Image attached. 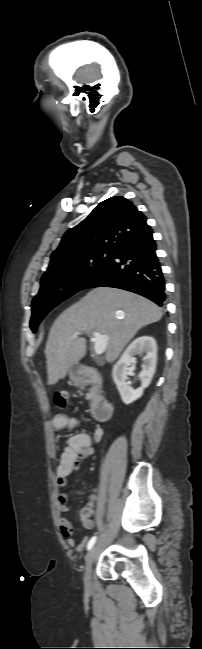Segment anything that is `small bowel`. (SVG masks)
<instances>
[{"mask_svg":"<svg viewBox=\"0 0 202 649\" xmlns=\"http://www.w3.org/2000/svg\"><path fill=\"white\" fill-rule=\"evenodd\" d=\"M78 419L60 413L55 415L52 425L55 430H69L77 427ZM102 436L101 428H97L93 435L86 432H78L70 436L59 459L56 469V484L59 489L58 505L62 513L69 512L68 495L66 486L69 476L79 468L82 459L93 454V441L99 440ZM97 486L89 495L88 503L80 510V519L84 527L88 530L93 528L92 515L94 513V504L97 500ZM61 534L67 539L68 544L74 547L76 551L82 552L86 546L87 538H83L77 544L74 538V529L71 522L62 517L59 521Z\"/></svg>","mask_w":202,"mask_h":649,"instance_id":"1","label":"small bowel"}]
</instances>
